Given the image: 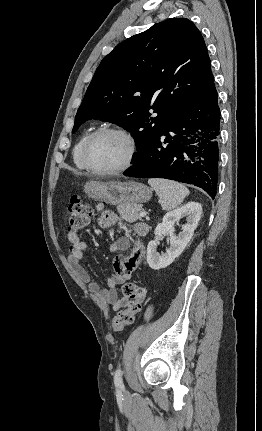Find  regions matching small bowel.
Listing matches in <instances>:
<instances>
[{
	"mask_svg": "<svg viewBox=\"0 0 262 431\" xmlns=\"http://www.w3.org/2000/svg\"><path fill=\"white\" fill-rule=\"evenodd\" d=\"M97 210H103V204L97 205ZM127 223L115 213H104L100 218V224L103 227H110L117 224ZM131 230L134 234V239L128 236L118 237L111 245V251L128 254H120L114 261V274L109 277L107 285L101 288L98 283L92 281L91 275L82 265L83 254L87 249V244L77 234L66 232V238L69 242L68 260L72 270L78 279L84 282L89 291L102 303L111 306L114 311H117L128 304V299L120 295L118 286L126 280L132 278L133 271L138 267L145 254V247L141 240L147 233L148 226L145 222H131Z\"/></svg>",
	"mask_w": 262,
	"mask_h": 431,
	"instance_id": "small-bowel-1",
	"label": "small bowel"
}]
</instances>
